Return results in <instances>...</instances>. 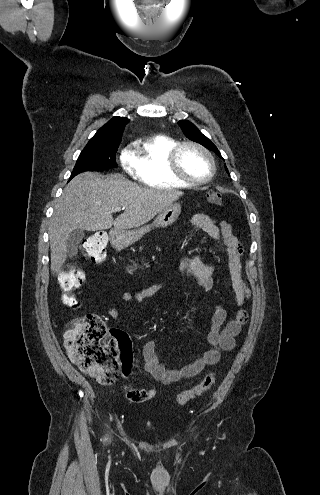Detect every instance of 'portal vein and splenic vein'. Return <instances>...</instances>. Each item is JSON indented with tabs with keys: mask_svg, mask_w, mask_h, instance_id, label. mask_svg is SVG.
Here are the masks:
<instances>
[{
	"mask_svg": "<svg viewBox=\"0 0 320 495\" xmlns=\"http://www.w3.org/2000/svg\"><path fill=\"white\" fill-rule=\"evenodd\" d=\"M124 209L125 208H123V207H115V208L112 209V211L113 212H119V211L124 210Z\"/></svg>",
	"mask_w": 320,
	"mask_h": 495,
	"instance_id": "18ae733b",
	"label": "portal vein and splenic vein"
}]
</instances>
